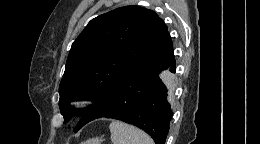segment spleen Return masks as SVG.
Listing matches in <instances>:
<instances>
[{
  "label": "spleen",
  "mask_w": 260,
  "mask_h": 144,
  "mask_svg": "<svg viewBox=\"0 0 260 144\" xmlns=\"http://www.w3.org/2000/svg\"><path fill=\"white\" fill-rule=\"evenodd\" d=\"M109 129L113 144H154L145 132L124 122L113 120Z\"/></svg>",
  "instance_id": "3e777b00"
}]
</instances>
